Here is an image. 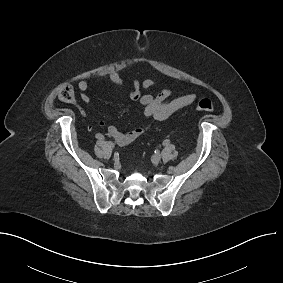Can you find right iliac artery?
Returning a JSON list of instances; mask_svg holds the SVG:
<instances>
[{
  "label": "right iliac artery",
  "mask_w": 283,
  "mask_h": 283,
  "mask_svg": "<svg viewBox=\"0 0 283 283\" xmlns=\"http://www.w3.org/2000/svg\"><path fill=\"white\" fill-rule=\"evenodd\" d=\"M96 136H97V138H99V139H104L103 135H101V134H97Z\"/></svg>",
  "instance_id": "1"
}]
</instances>
